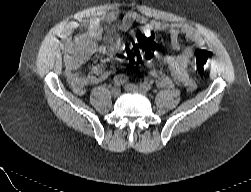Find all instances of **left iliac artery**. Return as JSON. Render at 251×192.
<instances>
[{
  "label": "left iliac artery",
  "mask_w": 251,
  "mask_h": 192,
  "mask_svg": "<svg viewBox=\"0 0 251 192\" xmlns=\"http://www.w3.org/2000/svg\"><path fill=\"white\" fill-rule=\"evenodd\" d=\"M140 86L145 89L146 91H149L152 89V85L150 82H143L140 84Z\"/></svg>",
  "instance_id": "obj_1"
}]
</instances>
